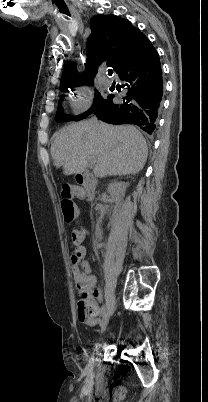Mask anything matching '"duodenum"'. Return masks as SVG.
I'll list each match as a JSON object with an SVG mask.
<instances>
[{
    "label": "duodenum",
    "mask_w": 208,
    "mask_h": 402,
    "mask_svg": "<svg viewBox=\"0 0 208 402\" xmlns=\"http://www.w3.org/2000/svg\"><path fill=\"white\" fill-rule=\"evenodd\" d=\"M77 182L85 189L86 195L89 199L94 196L96 181L95 179L86 173H80L76 177Z\"/></svg>",
    "instance_id": "410a0bca"
}]
</instances>
